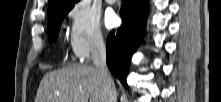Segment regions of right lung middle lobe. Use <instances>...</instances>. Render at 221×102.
I'll return each instance as SVG.
<instances>
[{
	"mask_svg": "<svg viewBox=\"0 0 221 102\" xmlns=\"http://www.w3.org/2000/svg\"><path fill=\"white\" fill-rule=\"evenodd\" d=\"M71 9H72V7L67 8V9H63V10L57 12L54 16H52L49 19V21H48V38H49L50 43L56 41V39L58 37V33L60 31L62 21Z\"/></svg>",
	"mask_w": 221,
	"mask_h": 102,
	"instance_id": "dd1d6c3e",
	"label": "right lung middle lobe"
}]
</instances>
